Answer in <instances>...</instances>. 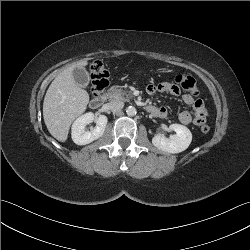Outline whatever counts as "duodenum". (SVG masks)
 <instances>
[{
    "label": "duodenum",
    "instance_id": "410a0bca",
    "mask_svg": "<svg viewBox=\"0 0 250 250\" xmlns=\"http://www.w3.org/2000/svg\"><path fill=\"white\" fill-rule=\"evenodd\" d=\"M106 100V96L105 95H97V96H94L91 101H90V106L91 108L93 109H98L100 108L104 102ZM147 110L150 112V113H153L154 112V108L149 106L147 107Z\"/></svg>",
    "mask_w": 250,
    "mask_h": 250
}]
</instances>
